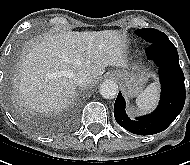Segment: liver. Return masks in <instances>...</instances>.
<instances>
[{
  "label": "liver",
  "instance_id": "liver-1",
  "mask_svg": "<svg viewBox=\"0 0 190 165\" xmlns=\"http://www.w3.org/2000/svg\"><path fill=\"white\" fill-rule=\"evenodd\" d=\"M124 48L116 30L50 32L32 41L14 75L21 105L37 112L65 109L75 95L74 74L83 70L95 81L108 66L129 68Z\"/></svg>",
  "mask_w": 190,
  "mask_h": 165
}]
</instances>
